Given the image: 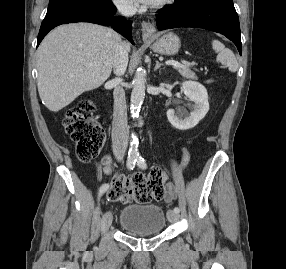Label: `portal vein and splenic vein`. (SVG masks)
I'll return each mask as SVG.
<instances>
[{
    "mask_svg": "<svg viewBox=\"0 0 286 269\" xmlns=\"http://www.w3.org/2000/svg\"><path fill=\"white\" fill-rule=\"evenodd\" d=\"M166 64H167V65H173V66H176V67L189 68V66L184 65V64H181V63H179V62H177V61H174V60H168V61H166Z\"/></svg>",
    "mask_w": 286,
    "mask_h": 269,
    "instance_id": "18ae733b",
    "label": "portal vein and splenic vein"
}]
</instances>
